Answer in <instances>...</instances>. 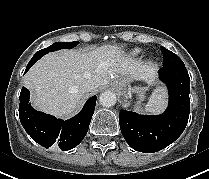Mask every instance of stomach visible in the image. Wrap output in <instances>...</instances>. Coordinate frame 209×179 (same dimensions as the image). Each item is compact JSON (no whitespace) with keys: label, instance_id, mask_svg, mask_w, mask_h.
Listing matches in <instances>:
<instances>
[{"label":"stomach","instance_id":"0dacf381","mask_svg":"<svg viewBox=\"0 0 209 179\" xmlns=\"http://www.w3.org/2000/svg\"><path fill=\"white\" fill-rule=\"evenodd\" d=\"M117 81H118V84H119L122 92H125L126 89H127V86L129 85V83H130L131 80H130L129 77L123 76L120 79H118Z\"/></svg>","mask_w":209,"mask_h":179}]
</instances>
